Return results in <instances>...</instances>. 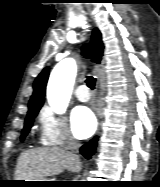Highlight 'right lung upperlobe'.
<instances>
[{"mask_svg": "<svg viewBox=\"0 0 160 187\" xmlns=\"http://www.w3.org/2000/svg\"><path fill=\"white\" fill-rule=\"evenodd\" d=\"M103 49L104 46L101 39V33L97 28H95L93 30L91 43L83 46L82 53L85 57L92 58V61L100 63L103 56ZM48 76L49 72L47 67L43 69V71L36 78L33 85V95L29 101L28 112L39 110L42 107Z\"/></svg>", "mask_w": 160, "mask_h": 187, "instance_id": "1", "label": "right lung upper lobe"}]
</instances>
